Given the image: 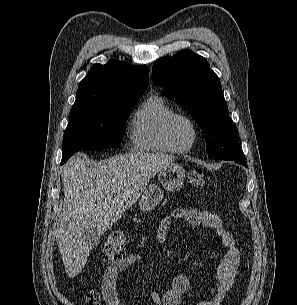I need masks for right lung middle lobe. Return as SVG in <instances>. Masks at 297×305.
Instances as JSON below:
<instances>
[{
    "label": "right lung middle lobe",
    "mask_w": 297,
    "mask_h": 305,
    "mask_svg": "<svg viewBox=\"0 0 297 305\" xmlns=\"http://www.w3.org/2000/svg\"><path fill=\"white\" fill-rule=\"evenodd\" d=\"M140 97L127 98L107 104L72 107L64 132L62 161L66 162L79 150H100L120 146L130 107Z\"/></svg>",
    "instance_id": "1"
}]
</instances>
